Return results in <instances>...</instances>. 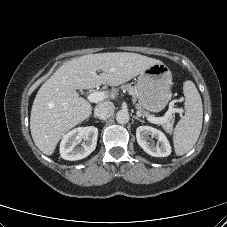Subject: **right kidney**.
Masks as SVG:
<instances>
[{
  "label": "right kidney",
  "mask_w": 227,
  "mask_h": 227,
  "mask_svg": "<svg viewBox=\"0 0 227 227\" xmlns=\"http://www.w3.org/2000/svg\"><path fill=\"white\" fill-rule=\"evenodd\" d=\"M98 129L94 126L78 127L66 133L60 143V154L65 160L75 161L87 157L97 144ZM84 142L78 146L81 140Z\"/></svg>",
  "instance_id": "right-kidney-1"
}]
</instances>
